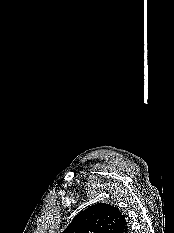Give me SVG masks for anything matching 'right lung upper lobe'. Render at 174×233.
I'll list each match as a JSON object with an SVG mask.
<instances>
[{"mask_svg": "<svg viewBox=\"0 0 174 233\" xmlns=\"http://www.w3.org/2000/svg\"><path fill=\"white\" fill-rule=\"evenodd\" d=\"M125 216L118 208L97 203L77 214L62 233H128Z\"/></svg>", "mask_w": 174, "mask_h": 233, "instance_id": "obj_1", "label": "right lung upper lobe"}]
</instances>
